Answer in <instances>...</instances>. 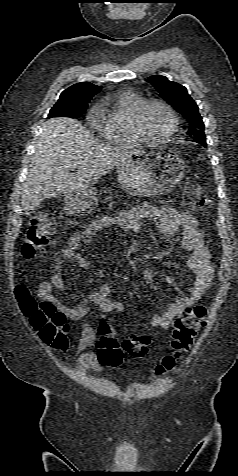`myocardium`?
Wrapping results in <instances>:
<instances>
[{
    "instance_id": "1",
    "label": "myocardium",
    "mask_w": 238,
    "mask_h": 476,
    "mask_svg": "<svg viewBox=\"0 0 238 476\" xmlns=\"http://www.w3.org/2000/svg\"><path fill=\"white\" fill-rule=\"evenodd\" d=\"M151 105H161L167 110L172 119V125L169 132L161 138H154L150 136L144 126V115L146 110ZM134 125L137 134L142 138L143 141L148 143H165L169 141L178 131L179 118L174 108L168 102L162 99L152 98L144 100L138 107L134 118Z\"/></svg>"
}]
</instances>
